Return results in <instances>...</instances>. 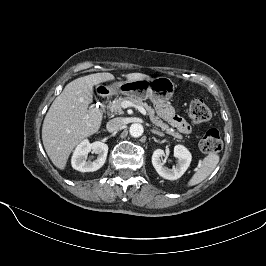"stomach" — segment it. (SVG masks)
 <instances>
[{
  "label": "stomach",
  "instance_id": "1",
  "mask_svg": "<svg viewBox=\"0 0 266 266\" xmlns=\"http://www.w3.org/2000/svg\"><path fill=\"white\" fill-rule=\"evenodd\" d=\"M108 90L118 91L139 100L149 98L155 105H160L172 98L175 84L168 77L142 78L116 83L108 87Z\"/></svg>",
  "mask_w": 266,
  "mask_h": 266
}]
</instances>
